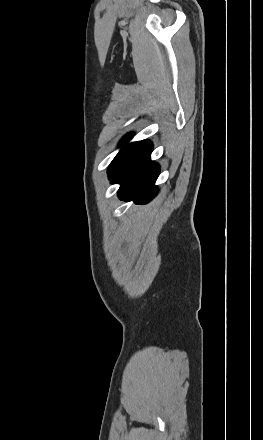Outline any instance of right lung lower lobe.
I'll list each match as a JSON object with an SVG mask.
<instances>
[{"mask_svg": "<svg viewBox=\"0 0 263 440\" xmlns=\"http://www.w3.org/2000/svg\"><path fill=\"white\" fill-rule=\"evenodd\" d=\"M153 145L148 140L138 142L132 152L109 177L111 183H119L118 195L125 201L138 204L149 202L156 194L155 181L159 165L151 161Z\"/></svg>", "mask_w": 263, "mask_h": 440, "instance_id": "obj_1", "label": "right lung lower lobe"}]
</instances>
